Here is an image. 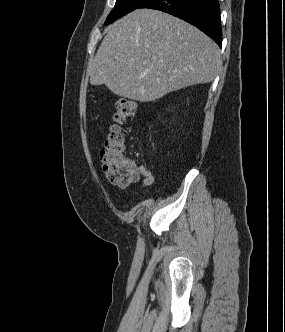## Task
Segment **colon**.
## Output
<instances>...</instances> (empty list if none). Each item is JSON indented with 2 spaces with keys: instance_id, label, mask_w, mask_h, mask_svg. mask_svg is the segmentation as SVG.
<instances>
[{
  "instance_id": "obj_1",
  "label": "colon",
  "mask_w": 285,
  "mask_h": 332,
  "mask_svg": "<svg viewBox=\"0 0 285 332\" xmlns=\"http://www.w3.org/2000/svg\"><path fill=\"white\" fill-rule=\"evenodd\" d=\"M136 113L134 101L120 98L116 102L114 123L100 153L103 172L108 181L119 187H128L139 178L134 162L125 156L122 126Z\"/></svg>"
}]
</instances>
